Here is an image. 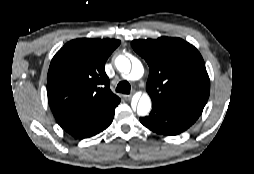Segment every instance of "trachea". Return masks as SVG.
Listing matches in <instances>:
<instances>
[{"mask_svg": "<svg viewBox=\"0 0 254 174\" xmlns=\"http://www.w3.org/2000/svg\"><path fill=\"white\" fill-rule=\"evenodd\" d=\"M131 86L127 81H120L116 87V91L124 94H129Z\"/></svg>", "mask_w": 254, "mask_h": 174, "instance_id": "trachea-1", "label": "trachea"}]
</instances>
